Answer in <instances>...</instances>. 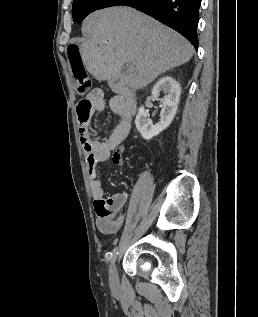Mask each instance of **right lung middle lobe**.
I'll return each instance as SVG.
<instances>
[{
    "mask_svg": "<svg viewBox=\"0 0 258 317\" xmlns=\"http://www.w3.org/2000/svg\"><path fill=\"white\" fill-rule=\"evenodd\" d=\"M88 0H74L72 7V17L74 22L77 21L79 15L81 14L83 8L85 7Z\"/></svg>",
    "mask_w": 258,
    "mask_h": 317,
    "instance_id": "obj_1",
    "label": "right lung middle lobe"
}]
</instances>
